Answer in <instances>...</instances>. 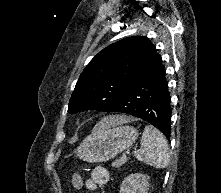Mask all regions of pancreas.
Instances as JSON below:
<instances>
[{
	"instance_id": "cf45deb5",
	"label": "pancreas",
	"mask_w": 221,
	"mask_h": 193,
	"mask_svg": "<svg viewBox=\"0 0 221 193\" xmlns=\"http://www.w3.org/2000/svg\"><path fill=\"white\" fill-rule=\"evenodd\" d=\"M126 161H127V158L122 157V158H120L119 160H115V161L112 163V166H113V167H116V168H119L120 166H122L123 164H125Z\"/></svg>"
}]
</instances>
